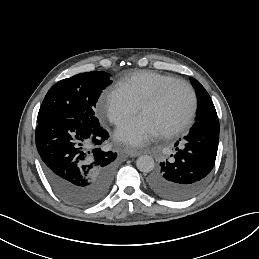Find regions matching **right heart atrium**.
Masks as SVG:
<instances>
[{"mask_svg": "<svg viewBox=\"0 0 259 259\" xmlns=\"http://www.w3.org/2000/svg\"><path fill=\"white\" fill-rule=\"evenodd\" d=\"M101 114L114 125H119L139 111V105L118 87L108 86L98 96Z\"/></svg>", "mask_w": 259, "mask_h": 259, "instance_id": "1", "label": "right heart atrium"}]
</instances>
